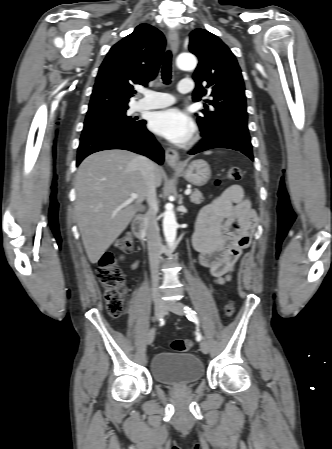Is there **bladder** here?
<instances>
[{
  "label": "bladder",
  "mask_w": 332,
  "mask_h": 449,
  "mask_svg": "<svg viewBox=\"0 0 332 449\" xmlns=\"http://www.w3.org/2000/svg\"><path fill=\"white\" fill-rule=\"evenodd\" d=\"M151 374L162 385H191L203 377L204 366L191 353L161 352L151 361Z\"/></svg>",
  "instance_id": "obj_1"
}]
</instances>
